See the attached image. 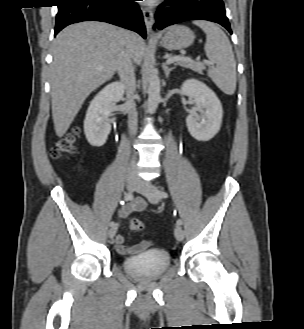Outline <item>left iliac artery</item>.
<instances>
[{
    "label": "left iliac artery",
    "mask_w": 304,
    "mask_h": 329,
    "mask_svg": "<svg viewBox=\"0 0 304 329\" xmlns=\"http://www.w3.org/2000/svg\"><path fill=\"white\" fill-rule=\"evenodd\" d=\"M158 195L161 197V198H167L168 197V193L163 191V190H158ZM177 225H182V220L181 219H178L177 220Z\"/></svg>",
    "instance_id": "obj_1"
}]
</instances>
